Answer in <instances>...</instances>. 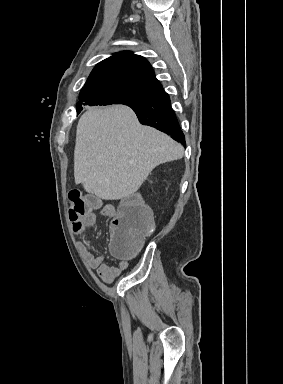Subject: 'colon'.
I'll return each mask as SVG.
<instances>
[{"mask_svg":"<svg viewBox=\"0 0 283 384\" xmlns=\"http://www.w3.org/2000/svg\"><path fill=\"white\" fill-rule=\"evenodd\" d=\"M69 218L73 225H81L84 216L100 205L93 196H83L78 190L68 194ZM154 228L151 212L142 199L136 195L125 198L112 219L110 226V251L113 256L126 260L139 251L143 237Z\"/></svg>","mask_w":283,"mask_h":384,"instance_id":"colon-1","label":"colon"}]
</instances>
